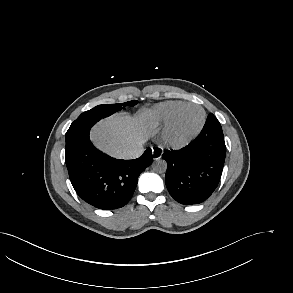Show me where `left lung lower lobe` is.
<instances>
[{
    "instance_id": "left-lung-lower-lobe-1",
    "label": "left lung lower lobe",
    "mask_w": 293,
    "mask_h": 293,
    "mask_svg": "<svg viewBox=\"0 0 293 293\" xmlns=\"http://www.w3.org/2000/svg\"><path fill=\"white\" fill-rule=\"evenodd\" d=\"M225 156L221 125L208 117L194 141L162 155L167 161L165 183L170 195L184 205L205 201L220 181Z\"/></svg>"
}]
</instances>
